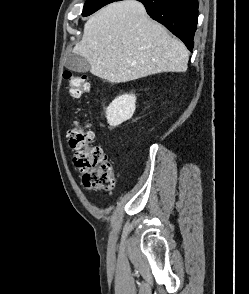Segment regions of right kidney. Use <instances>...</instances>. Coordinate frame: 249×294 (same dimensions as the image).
<instances>
[{"label":"right kidney","instance_id":"obj_1","mask_svg":"<svg viewBox=\"0 0 249 294\" xmlns=\"http://www.w3.org/2000/svg\"><path fill=\"white\" fill-rule=\"evenodd\" d=\"M136 97L132 94H124L115 98L106 109L107 122L111 126H118L129 120L136 109Z\"/></svg>","mask_w":249,"mask_h":294}]
</instances>
